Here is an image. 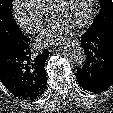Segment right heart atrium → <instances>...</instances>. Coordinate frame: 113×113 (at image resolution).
I'll use <instances>...</instances> for the list:
<instances>
[{
  "label": "right heart atrium",
  "instance_id": "d8ad5b80",
  "mask_svg": "<svg viewBox=\"0 0 113 113\" xmlns=\"http://www.w3.org/2000/svg\"><path fill=\"white\" fill-rule=\"evenodd\" d=\"M12 13L20 28L29 35H37L46 22V15L37 11L26 1L15 0Z\"/></svg>",
  "mask_w": 113,
  "mask_h": 113
}]
</instances>
